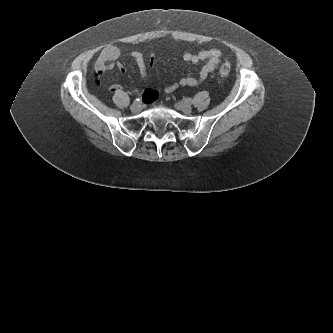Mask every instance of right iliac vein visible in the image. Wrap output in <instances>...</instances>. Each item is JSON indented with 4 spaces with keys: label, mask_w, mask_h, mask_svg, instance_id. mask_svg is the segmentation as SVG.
I'll use <instances>...</instances> for the list:
<instances>
[{
    "label": "right iliac vein",
    "mask_w": 333,
    "mask_h": 333,
    "mask_svg": "<svg viewBox=\"0 0 333 333\" xmlns=\"http://www.w3.org/2000/svg\"><path fill=\"white\" fill-rule=\"evenodd\" d=\"M131 111L134 113H138L142 110V105L138 102H134L131 107H130Z\"/></svg>",
    "instance_id": "63e3f726"
}]
</instances>
